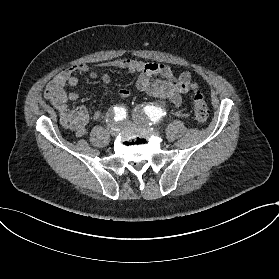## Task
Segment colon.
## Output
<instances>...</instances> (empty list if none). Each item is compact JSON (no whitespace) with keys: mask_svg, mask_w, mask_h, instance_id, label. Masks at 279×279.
I'll return each mask as SVG.
<instances>
[{"mask_svg":"<svg viewBox=\"0 0 279 279\" xmlns=\"http://www.w3.org/2000/svg\"><path fill=\"white\" fill-rule=\"evenodd\" d=\"M193 103H194V117L200 122L204 123L208 119V107L205 102V97L201 90H195L192 95Z\"/></svg>","mask_w":279,"mask_h":279,"instance_id":"obj_1","label":"colon"}]
</instances>
